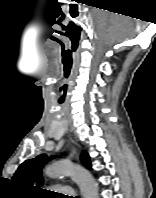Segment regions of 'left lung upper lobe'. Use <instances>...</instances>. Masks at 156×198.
Returning a JSON list of instances; mask_svg holds the SVG:
<instances>
[{
	"instance_id": "1",
	"label": "left lung upper lobe",
	"mask_w": 156,
	"mask_h": 198,
	"mask_svg": "<svg viewBox=\"0 0 156 198\" xmlns=\"http://www.w3.org/2000/svg\"><path fill=\"white\" fill-rule=\"evenodd\" d=\"M81 161L87 168H91L90 158L87 152H82ZM47 162L48 157L46 155H39L35 159L24 161L15 172L12 178L13 182L29 188H36V185L40 186L42 183V168ZM36 189L41 190L40 187Z\"/></svg>"
}]
</instances>
